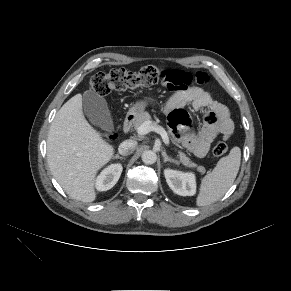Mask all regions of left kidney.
<instances>
[{"label": "left kidney", "instance_id": "left-kidney-1", "mask_svg": "<svg viewBox=\"0 0 291 291\" xmlns=\"http://www.w3.org/2000/svg\"><path fill=\"white\" fill-rule=\"evenodd\" d=\"M164 175L170 189L181 196H193L196 193V178L192 172L165 169Z\"/></svg>", "mask_w": 291, "mask_h": 291}]
</instances>
